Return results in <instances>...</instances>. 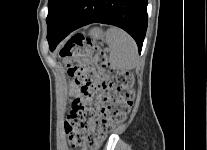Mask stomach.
I'll return each mask as SVG.
<instances>
[{
    "instance_id": "stomach-1",
    "label": "stomach",
    "mask_w": 207,
    "mask_h": 150,
    "mask_svg": "<svg viewBox=\"0 0 207 150\" xmlns=\"http://www.w3.org/2000/svg\"><path fill=\"white\" fill-rule=\"evenodd\" d=\"M90 33H91L95 38H98V37H100V33H101V31H100L99 28H93V29L90 31Z\"/></svg>"
}]
</instances>
